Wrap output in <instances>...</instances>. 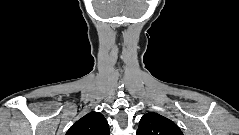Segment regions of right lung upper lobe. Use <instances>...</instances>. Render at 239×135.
<instances>
[{
    "label": "right lung upper lobe",
    "instance_id": "cb5924a9",
    "mask_svg": "<svg viewBox=\"0 0 239 135\" xmlns=\"http://www.w3.org/2000/svg\"><path fill=\"white\" fill-rule=\"evenodd\" d=\"M66 135H110V130L104 116L93 111L73 124Z\"/></svg>",
    "mask_w": 239,
    "mask_h": 135
}]
</instances>
